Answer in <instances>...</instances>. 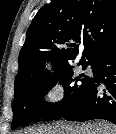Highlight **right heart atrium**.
<instances>
[{
  "label": "right heart atrium",
  "mask_w": 116,
  "mask_h": 134,
  "mask_svg": "<svg viewBox=\"0 0 116 134\" xmlns=\"http://www.w3.org/2000/svg\"><path fill=\"white\" fill-rule=\"evenodd\" d=\"M43 95L49 105H59L66 97L65 85L61 81L55 80L45 88Z\"/></svg>",
  "instance_id": "obj_1"
}]
</instances>
